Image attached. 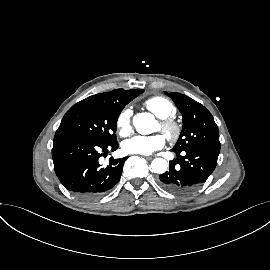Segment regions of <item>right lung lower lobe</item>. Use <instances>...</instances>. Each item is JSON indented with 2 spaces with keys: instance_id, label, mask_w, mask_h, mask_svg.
Wrapping results in <instances>:
<instances>
[{
  "instance_id": "98d812e1",
  "label": "right lung lower lobe",
  "mask_w": 270,
  "mask_h": 270,
  "mask_svg": "<svg viewBox=\"0 0 270 270\" xmlns=\"http://www.w3.org/2000/svg\"><path fill=\"white\" fill-rule=\"evenodd\" d=\"M117 148V141L105 145L78 135L55 136L52 149L55 173L63 186L76 196L83 199L98 197L120 180L127 159L111 157L106 165H102L100 151Z\"/></svg>"
}]
</instances>
